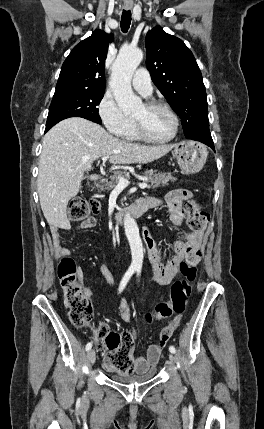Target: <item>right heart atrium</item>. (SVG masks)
<instances>
[{
    "mask_svg": "<svg viewBox=\"0 0 264 429\" xmlns=\"http://www.w3.org/2000/svg\"><path fill=\"white\" fill-rule=\"evenodd\" d=\"M97 114L106 130L118 137H122L131 127L133 121L126 116L114 97L105 93L97 105Z\"/></svg>",
    "mask_w": 264,
    "mask_h": 429,
    "instance_id": "1",
    "label": "right heart atrium"
}]
</instances>
